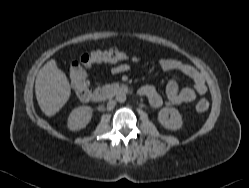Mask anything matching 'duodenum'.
<instances>
[{
    "instance_id": "1",
    "label": "duodenum",
    "mask_w": 249,
    "mask_h": 188,
    "mask_svg": "<svg viewBox=\"0 0 249 188\" xmlns=\"http://www.w3.org/2000/svg\"><path fill=\"white\" fill-rule=\"evenodd\" d=\"M128 92L129 88L122 84L101 86L89 94V99L93 102H102Z\"/></svg>"
}]
</instances>
